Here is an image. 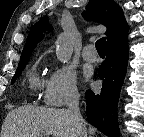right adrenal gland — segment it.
<instances>
[{
	"instance_id": "right-adrenal-gland-1",
	"label": "right adrenal gland",
	"mask_w": 144,
	"mask_h": 137,
	"mask_svg": "<svg viewBox=\"0 0 144 137\" xmlns=\"http://www.w3.org/2000/svg\"><path fill=\"white\" fill-rule=\"evenodd\" d=\"M89 137H94L93 135H90Z\"/></svg>"
}]
</instances>
